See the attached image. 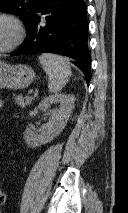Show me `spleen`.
Listing matches in <instances>:
<instances>
[{"mask_svg": "<svg viewBox=\"0 0 128 213\" xmlns=\"http://www.w3.org/2000/svg\"><path fill=\"white\" fill-rule=\"evenodd\" d=\"M39 60L49 78V92L57 93L61 91L72 75L69 60L49 53L40 55Z\"/></svg>", "mask_w": 128, "mask_h": 213, "instance_id": "spleen-1", "label": "spleen"}]
</instances>
